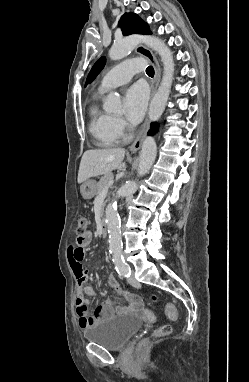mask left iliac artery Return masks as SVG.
Returning <instances> with one entry per match:
<instances>
[{"label": "left iliac artery", "mask_w": 249, "mask_h": 382, "mask_svg": "<svg viewBox=\"0 0 249 382\" xmlns=\"http://www.w3.org/2000/svg\"><path fill=\"white\" fill-rule=\"evenodd\" d=\"M113 262L116 265V271L119 275L129 277L131 275L130 266L125 262L121 252H115L113 256Z\"/></svg>", "instance_id": "obj_1"}]
</instances>
